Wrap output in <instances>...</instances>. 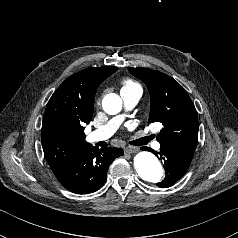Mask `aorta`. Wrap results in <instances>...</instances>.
I'll list each match as a JSON object with an SVG mask.
<instances>
[{"label": "aorta", "instance_id": "762f6f07", "mask_svg": "<svg viewBox=\"0 0 238 238\" xmlns=\"http://www.w3.org/2000/svg\"><path fill=\"white\" fill-rule=\"evenodd\" d=\"M102 107L106 113L115 115L122 109V100L117 94L110 93L104 97ZM134 167L139 177L150 183L160 182L164 175L159 160L148 151H141L134 157Z\"/></svg>", "mask_w": 238, "mask_h": 238}]
</instances>
